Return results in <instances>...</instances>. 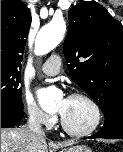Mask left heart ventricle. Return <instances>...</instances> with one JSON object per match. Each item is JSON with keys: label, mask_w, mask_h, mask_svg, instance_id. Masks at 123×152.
Returning <instances> with one entry per match:
<instances>
[{"label": "left heart ventricle", "mask_w": 123, "mask_h": 152, "mask_svg": "<svg viewBox=\"0 0 123 152\" xmlns=\"http://www.w3.org/2000/svg\"><path fill=\"white\" fill-rule=\"evenodd\" d=\"M57 110L66 124L74 130H85L94 121V111L91 105L80 98L60 100L57 104Z\"/></svg>", "instance_id": "obj_1"}]
</instances>
